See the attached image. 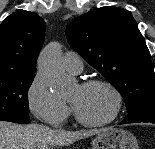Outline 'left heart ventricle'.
I'll return each mask as SVG.
<instances>
[{
	"mask_svg": "<svg viewBox=\"0 0 155 149\" xmlns=\"http://www.w3.org/2000/svg\"><path fill=\"white\" fill-rule=\"evenodd\" d=\"M70 102L86 120L103 121L113 111L114 98L104 87L83 88L78 86L70 97Z\"/></svg>",
	"mask_w": 155,
	"mask_h": 149,
	"instance_id": "obj_1",
	"label": "left heart ventricle"
}]
</instances>
